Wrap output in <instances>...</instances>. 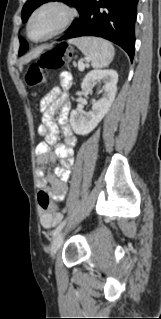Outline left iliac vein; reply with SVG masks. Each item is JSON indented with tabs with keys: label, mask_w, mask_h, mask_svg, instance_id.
Listing matches in <instances>:
<instances>
[{
	"label": "left iliac vein",
	"mask_w": 161,
	"mask_h": 319,
	"mask_svg": "<svg viewBox=\"0 0 161 319\" xmlns=\"http://www.w3.org/2000/svg\"><path fill=\"white\" fill-rule=\"evenodd\" d=\"M63 237H64V233L59 232L56 235V237L53 239L52 244H51V249H50V253H51L52 258H54L56 256V253L62 244Z\"/></svg>",
	"instance_id": "obj_1"
}]
</instances>
